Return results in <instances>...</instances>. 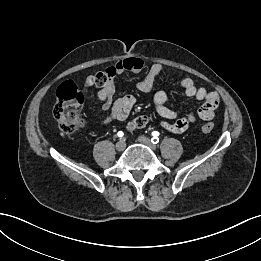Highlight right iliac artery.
<instances>
[{
	"label": "right iliac artery",
	"mask_w": 261,
	"mask_h": 261,
	"mask_svg": "<svg viewBox=\"0 0 261 261\" xmlns=\"http://www.w3.org/2000/svg\"><path fill=\"white\" fill-rule=\"evenodd\" d=\"M117 135H118V137H123L124 136V133L122 132V131H119L118 133H117Z\"/></svg>",
	"instance_id": "obj_1"
}]
</instances>
